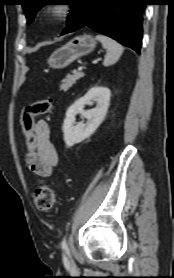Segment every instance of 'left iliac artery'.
<instances>
[{
	"label": "left iliac artery",
	"instance_id": "1",
	"mask_svg": "<svg viewBox=\"0 0 174 278\" xmlns=\"http://www.w3.org/2000/svg\"><path fill=\"white\" fill-rule=\"evenodd\" d=\"M61 246H62V249H63V250H66V249H67V241H66L65 238L63 239V241H62V243H61Z\"/></svg>",
	"mask_w": 174,
	"mask_h": 278
}]
</instances>
